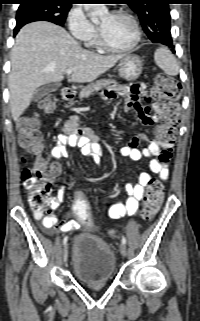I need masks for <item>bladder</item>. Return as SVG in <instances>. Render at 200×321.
I'll list each match as a JSON object with an SVG mask.
<instances>
[{
	"instance_id": "31cf9c89",
	"label": "bladder",
	"mask_w": 200,
	"mask_h": 321,
	"mask_svg": "<svg viewBox=\"0 0 200 321\" xmlns=\"http://www.w3.org/2000/svg\"><path fill=\"white\" fill-rule=\"evenodd\" d=\"M71 265L83 283L109 282L115 273L116 259L108 244L89 233H78L72 239Z\"/></svg>"
}]
</instances>
